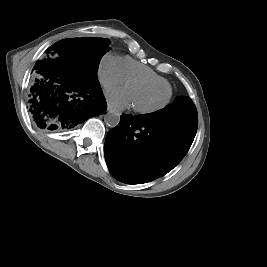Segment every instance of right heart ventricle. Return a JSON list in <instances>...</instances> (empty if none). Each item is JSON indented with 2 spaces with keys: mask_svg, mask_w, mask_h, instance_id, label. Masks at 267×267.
<instances>
[{
  "mask_svg": "<svg viewBox=\"0 0 267 267\" xmlns=\"http://www.w3.org/2000/svg\"><path fill=\"white\" fill-rule=\"evenodd\" d=\"M121 68L125 80L131 77L141 76L160 81L165 85H170L164 77L156 73L152 68L143 65L130 57L121 58Z\"/></svg>",
  "mask_w": 267,
  "mask_h": 267,
  "instance_id": "e07e8e85",
  "label": "right heart ventricle"
}]
</instances>
